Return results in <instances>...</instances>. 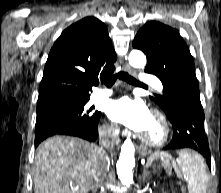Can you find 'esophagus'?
Returning a JSON list of instances; mask_svg holds the SVG:
<instances>
[{"mask_svg": "<svg viewBox=\"0 0 221 193\" xmlns=\"http://www.w3.org/2000/svg\"><path fill=\"white\" fill-rule=\"evenodd\" d=\"M123 69H124V71H126V72H128V73H131V72H132L131 67H130L128 64H125V65L123 66Z\"/></svg>", "mask_w": 221, "mask_h": 193, "instance_id": "34e87169", "label": "esophagus"}]
</instances>
